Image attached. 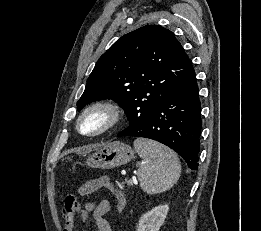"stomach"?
<instances>
[{
  "label": "stomach",
  "mask_w": 261,
  "mask_h": 231,
  "mask_svg": "<svg viewBox=\"0 0 261 231\" xmlns=\"http://www.w3.org/2000/svg\"><path fill=\"white\" fill-rule=\"evenodd\" d=\"M134 158V150L127 144L114 141L90 155L85 163L92 168L111 169L124 165Z\"/></svg>",
  "instance_id": "stomach-1"
}]
</instances>
